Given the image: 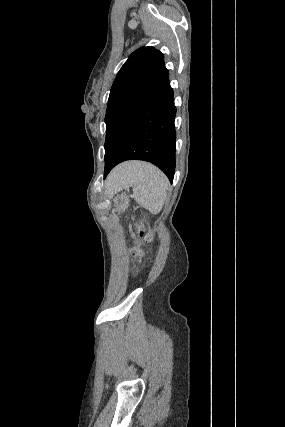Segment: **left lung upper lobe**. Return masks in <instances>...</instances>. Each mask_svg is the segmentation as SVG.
Segmentation results:
<instances>
[{
    "mask_svg": "<svg viewBox=\"0 0 285 427\" xmlns=\"http://www.w3.org/2000/svg\"><path fill=\"white\" fill-rule=\"evenodd\" d=\"M169 79L163 54L153 47L132 53L115 78L105 116V172L126 127Z\"/></svg>",
    "mask_w": 285,
    "mask_h": 427,
    "instance_id": "left-lung-upper-lobe-1",
    "label": "left lung upper lobe"
}]
</instances>
